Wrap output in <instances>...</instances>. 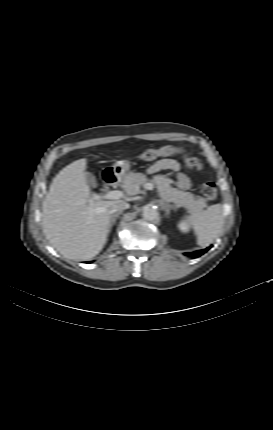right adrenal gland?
I'll use <instances>...</instances> for the list:
<instances>
[{
    "instance_id": "1",
    "label": "right adrenal gland",
    "mask_w": 273,
    "mask_h": 430,
    "mask_svg": "<svg viewBox=\"0 0 273 430\" xmlns=\"http://www.w3.org/2000/svg\"><path fill=\"white\" fill-rule=\"evenodd\" d=\"M122 214V212H116L112 214L110 224H109V231L111 230L112 226L115 224L117 218Z\"/></svg>"
}]
</instances>
